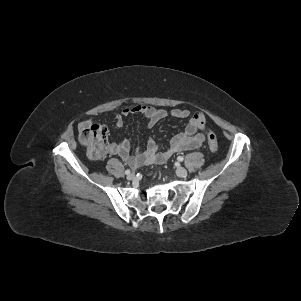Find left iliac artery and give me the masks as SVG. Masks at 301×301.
<instances>
[{
  "label": "left iliac artery",
  "instance_id": "obj_1",
  "mask_svg": "<svg viewBox=\"0 0 301 301\" xmlns=\"http://www.w3.org/2000/svg\"><path fill=\"white\" fill-rule=\"evenodd\" d=\"M177 160L180 161V162H182V161H184V158H183L182 156H179V157L177 158Z\"/></svg>",
  "mask_w": 301,
  "mask_h": 301
}]
</instances>
